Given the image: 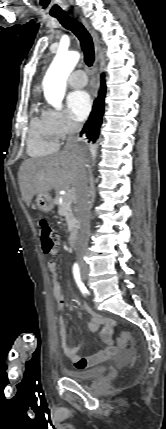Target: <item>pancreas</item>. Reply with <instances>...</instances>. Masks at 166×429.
Listing matches in <instances>:
<instances>
[{
    "label": "pancreas",
    "instance_id": "1",
    "mask_svg": "<svg viewBox=\"0 0 166 429\" xmlns=\"http://www.w3.org/2000/svg\"><path fill=\"white\" fill-rule=\"evenodd\" d=\"M73 198L69 199L63 196L61 203H59L58 213L65 216L69 232H73L78 228V220L76 216V207L72 206Z\"/></svg>",
    "mask_w": 166,
    "mask_h": 429
}]
</instances>
